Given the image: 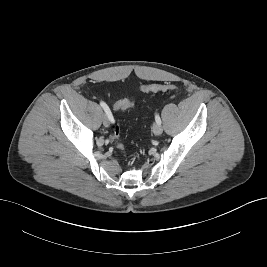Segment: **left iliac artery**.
Here are the masks:
<instances>
[{"instance_id": "44dca946", "label": "left iliac artery", "mask_w": 267, "mask_h": 267, "mask_svg": "<svg viewBox=\"0 0 267 267\" xmlns=\"http://www.w3.org/2000/svg\"><path fill=\"white\" fill-rule=\"evenodd\" d=\"M155 120H156V122H157L158 124H161L160 116H159V114H157V113H156V115H155Z\"/></svg>"}]
</instances>
